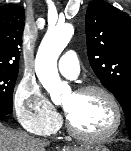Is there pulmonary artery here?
I'll return each instance as SVG.
<instances>
[{
	"label": "pulmonary artery",
	"mask_w": 131,
	"mask_h": 151,
	"mask_svg": "<svg viewBox=\"0 0 131 151\" xmlns=\"http://www.w3.org/2000/svg\"><path fill=\"white\" fill-rule=\"evenodd\" d=\"M60 73L70 79H75L79 74V62L74 51H67L58 62Z\"/></svg>",
	"instance_id": "obj_1"
}]
</instances>
